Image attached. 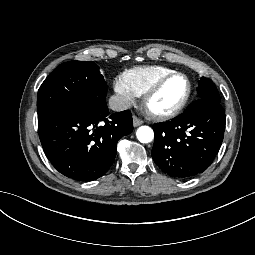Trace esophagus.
<instances>
[{
	"instance_id": "1",
	"label": "esophagus",
	"mask_w": 255,
	"mask_h": 255,
	"mask_svg": "<svg viewBox=\"0 0 255 255\" xmlns=\"http://www.w3.org/2000/svg\"><path fill=\"white\" fill-rule=\"evenodd\" d=\"M141 124H143V121L139 117L133 116L134 127L140 126Z\"/></svg>"
}]
</instances>
